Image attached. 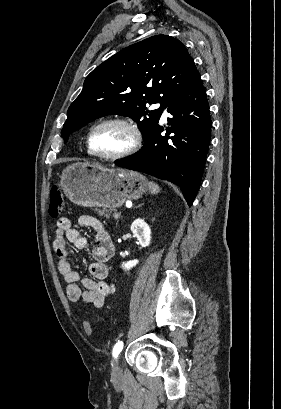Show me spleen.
<instances>
[{
	"instance_id": "3e777b00",
	"label": "spleen",
	"mask_w": 281,
	"mask_h": 409,
	"mask_svg": "<svg viewBox=\"0 0 281 409\" xmlns=\"http://www.w3.org/2000/svg\"><path fill=\"white\" fill-rule=\"evenodd\" d=\"M149 188H150V192H152V194H157V192H159V190H161L160 186H158V184H156V182H149Z\"/></svg>"
}]
</instances>
